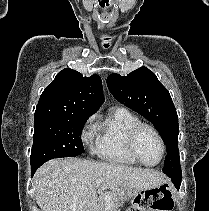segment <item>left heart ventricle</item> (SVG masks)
Returning a JSON list of instances; mask_svg holds the SVG:
<instances>
[{
	"label": "left heart ventricle",
	"instance_id": "obj_1",
	"mask_svg": "<svg viewBox=\"0 0 209 211\" xmlns=\"http://www.w3.org/2000/svg\"><path fill=\"white\" fill-rule=\"evenodd\" d=\"M137 151L143 161L156 163L161 156V146L156 136L149 130H143L137 140Z\"/></svg>",
	"mask_w": 209,
	"mask_h": 211
}]
</instances>
